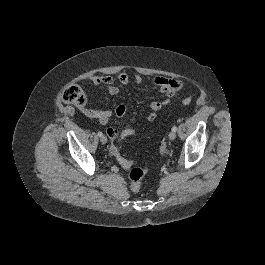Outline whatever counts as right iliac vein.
I'll return each mask as SVG.
<instances>
[{"label": "right iliac vein", "instance_id": "obj_1", "mask_svg": "<svg viewBox=\"0 0 265 265\" xmlns=\"http://www.w3.org/2000/svg\"><path fill=\"white\" fill-rule=\"evenodd\" d=\"M100 141L102 144H105L107 142V138L105 136H101Z\"/></svg>", "mask_w": 265, "mask_h": 265}]
</instances>
